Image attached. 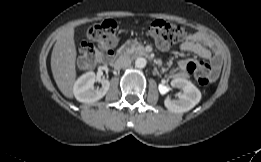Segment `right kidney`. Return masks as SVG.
<instances>
[{
	"instance_id": "obj_1",
	"label": "right kidney",
	"mask_w": 261,
	"mask_h": 162,
	"mask_svg": "<svg viewBox=\"0 0 261 162\" xmlns=\"http://www.w3.org/2000/svg\"><path fill=\"white\" fill-rule=\"evenodd\" d=\"M96 81L95 73L90 71L80 76L73 86L75 98L82 103L90 104L103 98L110 88V82L106 79L101 80V87L93 89Z\"/></svg>"
}]
</instances>
